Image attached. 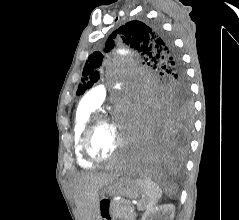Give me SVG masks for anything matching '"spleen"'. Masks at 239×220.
<instances>
[{
    "instance_id": "spleen-1",
    "label": "spleen",
    "mask_w": 239,
    "mask_h": 220,
    "mask_svg": "<svg viewBox=\"0 0 239 220\" xmlns=\"http://www.w3.org/2000/svg\"><path fill=\"white\" fill-rule=\"evenodd\" d=\"M136 183L141 187L142 199L138 202V210H148L155 206L162 196L161 188L149 178H136Z\"/></svg>"
}]
</instances>
